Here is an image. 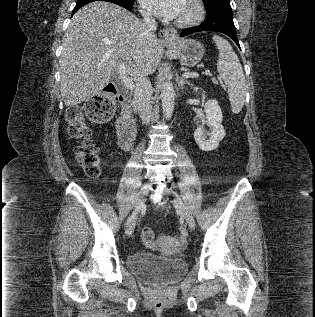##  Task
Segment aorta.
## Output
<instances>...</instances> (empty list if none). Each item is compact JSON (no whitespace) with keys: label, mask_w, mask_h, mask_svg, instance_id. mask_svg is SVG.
Here are the masks:
<instances>
[{"label":"aorta","mask_w":315,"mask_h":317,"mask_svg":"<svg viewBox=\"0 0 315 317\" xmlns=\"http://www.w3.org/2000/svg\"><path fill=\"white\" fill-rule=\"evenodd\" d=\"M161 99L163 114L166 119H170L174 111L175 91L172 82L169 80L162 84Z\"/></svg>","instance_id":"762f6f07"}]
</instances>
